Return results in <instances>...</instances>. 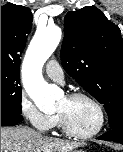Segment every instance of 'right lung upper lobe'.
<instances>
[{
  "instance_id": "1",
  "label": "right lung upper lobe",
  "mask_w": 123,
  "mask_h": 152,
  "mask_svg": "<svg viewBox=\"0 0 123 152\" xmlns=\"http://www.w3.org/2000/svg\"><path fill=\"white\" fill-rule=\"evenodd\" d=\"M31 10L24 6H1V70L18 71L20 56L32 27Z\"/></svg>"
}]
</instances>
